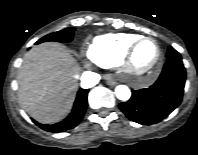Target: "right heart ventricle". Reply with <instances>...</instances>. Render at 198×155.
<instances>
[{"label": "right heart ventricle", "instance_id": "e07e8e85", "mask_svg": "<svg viewBox=\"0 0 198 155\" xmlns=\"http://www.w3.org/2000/svg\"><path fill=\"white\" fill-rule=\"evenodd\" d=\"M139 37L132 33H110L95 37L87 49L92 61L104 67H114L121 62L126 50Z\"/></svg>", "mask_w": 198, "mask_h": 155}]
</instances>
